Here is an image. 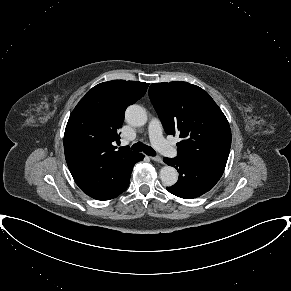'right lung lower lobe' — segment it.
I'll return each instance as SVG.
<instances>
[{"mask_svg":"<svg viewBox=\"0 0 291 291\" xmlns=\"http://www.w3.org/2000/svg\"><path fill=\"white\" fill-rule=\"evenodd\" d=\"M143 158H144V156L141 153H139L137 155V157H136L133 165H132V168H131L130 172L127 174V176L125 177L124 181L118 187V189L116 190V192L113 193V194H111V195H109V196H107L106 198H104L102 200H110L112 198H115L116 196H118L119 194H121L122 192H124L127 189L128 185L130 183L131 172H132V169H133L134 164L136 162H138V161H141Z\"/></svg>","mask_w":291,"mask_h":291,"instance_id":"1","label":"right lung lower lobe"}]
</instances>
